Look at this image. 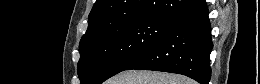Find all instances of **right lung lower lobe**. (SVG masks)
<instances>
[{"label": "right lung lower lobe", "mask_w": 260, "mask_h": 84, "mask_svg": "<svg viewBox=\"0 0 260 84\" xmlns=\"http://www.w3.org/2000/svg\"><path fill=\"white\" fill-rule=\"evenodd\" d=\"M212 47L211 25L204 0L197 8L172 21L151 48L126 70L178 73L208 84Z\"/></svg>", "instance_id": "98d812e1"}]
</instances>
